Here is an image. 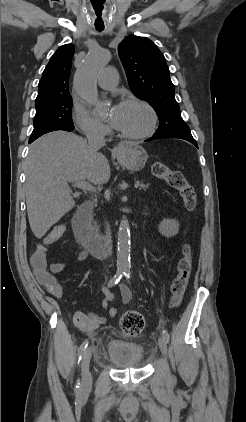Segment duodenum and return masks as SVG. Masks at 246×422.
Masks as SVG:
<instances>
[{
	"label": "duodenum",
	"mask_w": 246,
	"mask_h": 422,
	"mask_svg": "<svg viewBox=\"0 0 246 422\" xmlns=\"http://www.w3.org/2000/svg\"><path fill=\"white\" fill-rule=\"evenodd\" d=\"M93 203L85 202L77 211L73 218V229L79 242L89 250V252L98 258L108 257L111 253V247L108 237L100 233L91 225V213Z\"/></svg>",
	"instance_id": "obj_1"
}]
</instances>
